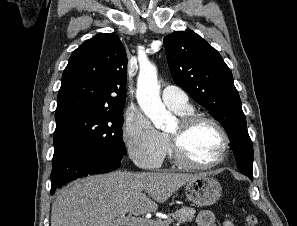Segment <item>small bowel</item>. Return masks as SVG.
<instances>
[{
    "label": "small bowel",
    "mask_w": 297,
    "mask_h": 226,
    "mask_svg": "<svg viewBox=\"0 0 297 226\" xmlns=\"http://www.w3.org/2000/svg\"><path fill=\"white\" fill-rule=\"evenodd\" d=\"M197 224L198 226H217L213 213L207 210L199 213ZM222 226H234V224L231 220H225Z\"/></svg>",
    "instance_id": "c3829d8e"
}]
</instances>
